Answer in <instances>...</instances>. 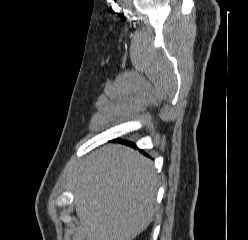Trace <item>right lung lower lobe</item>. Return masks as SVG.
Instances as JSON below:
<instances>
[{
    "instance_id": "obj_1",
    "label": "right lung lower lobe",
    "mask_w": 248,
    "mask_h": 240,
    "mask_svg": "<svg viewBox=\"0 0 248 240\" xmlns=\"http://www.w3.org/2000/svg\"><path fill=\"white\" fill-rule=\"evenodd\" d=\"M118 141V140H117ZM126 143V142H125ZM128 144H130V145H134V144H132V143H128Z\"/></svg>"
}]
</instances>
